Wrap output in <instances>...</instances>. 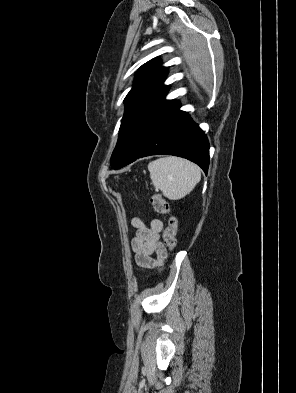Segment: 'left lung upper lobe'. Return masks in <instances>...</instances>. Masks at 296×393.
I'll return each mask as SVG.
<instances>
[{
	"mask_svg": "<svg viewBox=\"0 0 296 393\" xmlns=\"http://www.w3.org/2000/svg\"><path fill=\"white\" fill-rule=\"evenodd\" d=\"M167 68L158 58L144 64L135 83L125 98V112L119 130L117 145L111 156V167L124 166L132 150L154 119L173 101L165 100L169 86L163 84Z\"/></svg>",
	"mask_w": 296,
	"mask_h": 393,
	"instance_id": "left-lung-upper-lobe-1",
	"label": "left lung upper lobe"
}]
</instances>
